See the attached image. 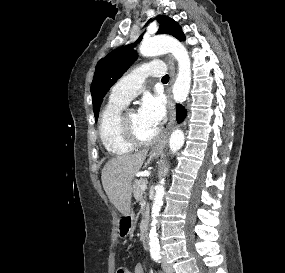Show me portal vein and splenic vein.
<instances>
[{
    "mask_svg": "<svg viewBox=\"0 0 285 273\" xmlns=\"http://www.w3.org/2000/svg\"><path fill=\"white\" fill-rule=\"evenodd\" d=\"M141 189H142L143 191H145V190L147 189V185H146L145 182L141 185Z\"/></svg>",
    "mask_w": 285,
    "mask_h": 273,
    "instance_id": "18ae733b",
    "label": "portal vein and splenic vein"
}]
</instances>
